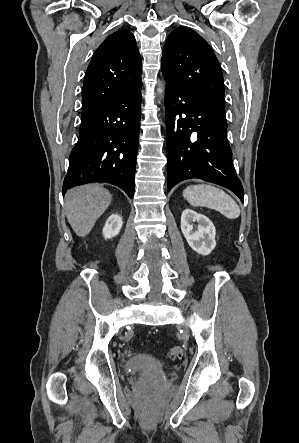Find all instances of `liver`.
Listing matches in <instances>:
<instances>
[{
	"label": "liver",
	"mask_w": 299,
	"mask_h": 443,
	"mask_svg": "<svg viewBox=\"0 0 299 443\" xmlns=\"http://www.w3.org/2000/svg\"><path fill=\"white\" fill-rule=\"evenodd\" d=\"M111 201L110 192L99 184L69 190L65 196V212L73 231L80 237L88 235Z\"/></svg>",
	"instance_id": "6515ba94"
}]
</instances>
